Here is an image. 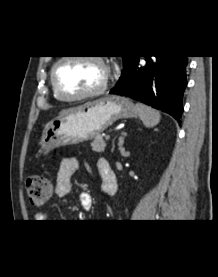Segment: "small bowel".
<instances>
[{"instance_id": "c3829d8e", "label": "small bowel", "mask_w": 218, "mask_h": 277, "mask_svg": "<svg viewBox=\"0 0 218 277\" xmlns=\"http://www.w3.org/2000/svg\"><path fill=\"white\" fill-rule=\"evenodd\" d=\"M102 161V160H100ZM98 162V171L99 164ZM79 168V162L75 158H64L58 168L56 175L55 194L59 197L67 195L71 190V178L75 171ZM113 171V170H112ZM114 173V172H113ZM100 174V171H99ZM101 177V174H100ZM102 191L104 194H111L115 190V182L103 183L102 177ZM82 207L89 210L93 205L92 196L88 192H81L79 195ZM48 217L44 212H37L35 214L36 222H44Z\"/></svg>"}]
</instances>
